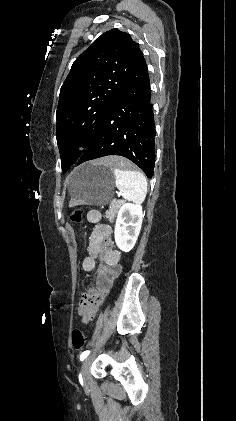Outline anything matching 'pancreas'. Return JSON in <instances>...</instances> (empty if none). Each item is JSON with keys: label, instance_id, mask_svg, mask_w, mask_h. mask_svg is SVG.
<instances>
[{"label": "pancreas", "instance_id": "pancreas-1", "mask_svg": "<svg viewBox=\"0 0 236 421\" xmlns=\"http://www.w3.org/2000/svg\"><path fill=\"white\" fill-rule=\"evenodd\" d=\"M121 204H123V200H112L109 211L105 213V217L109 219L110 223H113L119 208H121Z\"/></svg>", "mask_w": 236, "mask_h": 421}]
</instances>
